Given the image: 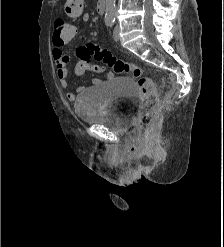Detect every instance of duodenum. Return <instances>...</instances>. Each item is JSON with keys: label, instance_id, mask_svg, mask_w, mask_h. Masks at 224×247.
I'll list each match as a JSON object with an SVG mask.
<instances>
[{"label": "duodenum", "instance_id": "obj_1", "mask_svg": "<svg viewBox=\"0 0 224 247\" xmlns=\"http://www.w3.org/2000/svg\"><path fill=\"white\" fill-rule=\"evenodd\" d=\"M107 0H97L96 10L98 14H103L106 10Z\"/></svg>", "mask_w": 224, "mask_h": 247}]
</instances>
